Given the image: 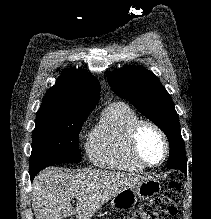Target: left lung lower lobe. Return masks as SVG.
I'll return each mask as SVG.
<instances>
[{"instance_id": "0a47b994", "label": "left lung lower lobe", "mask_w": 211, "mask_h": 219, "mask_svg": "<svg viewBox=\"0 0 211 219\" xmlns=\"http://www.w3.org/2000/svg\"><path fill=\"white\" fill-rule=\"evenodd\" d=\"M168 168H177L183 172L187 171V162L182 161L181 155L175 150H170Z\"/></svg>"}]
</instances>
